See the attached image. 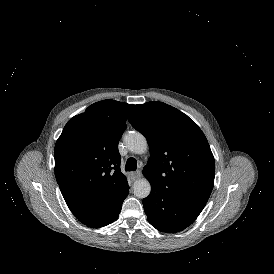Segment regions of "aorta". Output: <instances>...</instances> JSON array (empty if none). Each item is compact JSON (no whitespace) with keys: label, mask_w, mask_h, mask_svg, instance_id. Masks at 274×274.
<instances>
[{"label":"aorta","mask_w":274,"mask_h":274,"mask_svg":"<svg viewBox=\"0 0 274 274\" xmlns=\"http://www.w3.org/2000/svg\"><path fill=\"white\" fill-rule=\"evenodd\" d=\"M126 147L133 153L143 154L148 149V143L144 135L139 132H129L124 136ZM151 191L150 182L146 178L136 180L133 184L134 195L138 198H146Z\"/></svg>","instance_id":"obj_1"}]
</instances>
